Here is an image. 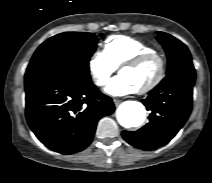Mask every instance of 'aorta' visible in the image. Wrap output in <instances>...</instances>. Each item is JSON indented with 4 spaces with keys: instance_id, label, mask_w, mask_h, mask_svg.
Masks as SVG:
<instances>
[{
    "instance_id": "aorta-1",
    "label": "aorta",
    "mask_w": 212,
    "mask_h": 183,
    "mask_svg": "<svg viewBox=\"0 0 212 183\" xmlns=\"http://www.w3.org/2000/svg\"><path fill=\"white\" fill-rule=\"evenodd\" d=\"M146 117L144 106L136 101H127L117 110V120L125 128L140 126Z\"/></svg>"
}]
</instances>
